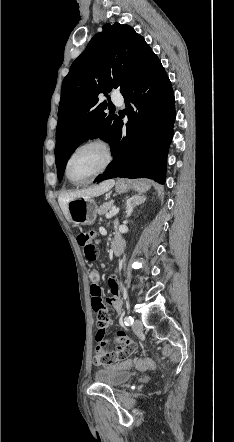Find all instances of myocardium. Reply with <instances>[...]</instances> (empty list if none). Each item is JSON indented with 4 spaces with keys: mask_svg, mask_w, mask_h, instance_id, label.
<instances>
[{
    "mask_svg": "<svg viewBox=\"0 0 234 442\" xmlns=\"http://www.w3.org/2000/svg\"><path fill=\"white\" fill-rule=\"evenodd\" d=\"M90 146H96V147H99L102 149V151L104 152V156H105L104 162H103L102 166L98 169V171H96L91 177H89L88 179L83 180V181H76L70 175V170H69L70 161H71L72 157L74 156V154L77 153L79 150L86 148V147H90ZM112 161H113V152H112L110 145L103 139H90V140H87V141L79 144L71 151V153L69 154L67 161H66L65 173H66L68 180L75 185L88 184L91 181H93L95 178H97L99 175L104 173L108 169V167L111 165Z\"/></svg>",
    "mask_w": 234,
    "mask_h": 442,
    "instance_id": "1",
    "label": "myocardium"
}]
</instances>
